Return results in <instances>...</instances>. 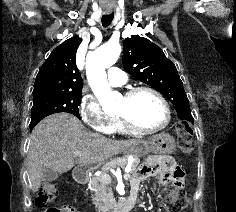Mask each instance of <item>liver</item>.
<instances>
[{"instance_id": "6515ba94", "label": "liver", "mask_w": 236, "mask_h": 212, "mask_svg": "<svg viewBox=\"0 0 236 212\" xmlns=\"http://www.w3.org/2000/svg\"><path fill=\"white\" fill-rule=\"evenodd\" d=\"M139 140H112L88 131L72 114L56 113L44 118L33 129L28 151L30 187L36 192L42 183V171L49 168L64 173L76 164L100 167L105 160L142 143ZM81 152L75 156L74 152Z\"/></svg>"}]
</instances>
